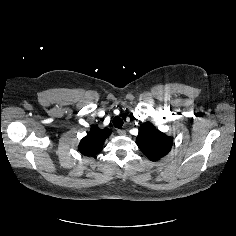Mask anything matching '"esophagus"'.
Masks as SVG:
<instances>
[{"label": "esophagus", "instance_id": "1", "mask_svg": "<svg viewBox=\"0 0 236 236\" xmlns=\"http://www.w3.org/2000/svg\"><path fill=\"white\" fill-rule=\"evenodd\" d=\"M117 133L121 136H124L126 134V131L122 130V129H119V130H117Z\"/></svg>", "mask_w": 236, "mask_h": 236}]
</instances>
